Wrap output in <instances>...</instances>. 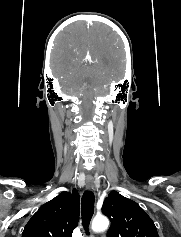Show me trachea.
<instances>
[{
    "mask_svg": "<svg viewBox=\"0 0 181 237\" xmlns=\"http://www.w3.org/2000/svg\"><path fill=\"white\" fill-rule=\"evenodd\" d=\"M82 210V225L86 230V234H89L88 227L90 220L94 213V194L91 191H86L81 200Z\"/></svg>",
    "mask_w": 181,
    "mask_h": 237,
    "instance_id": "trachea-1",
    "label": "trachea"
}]
</instances>
